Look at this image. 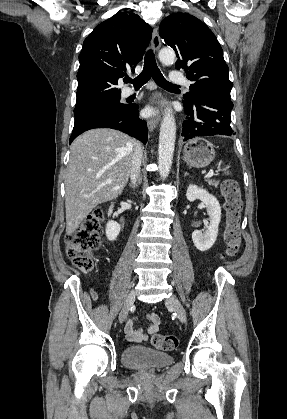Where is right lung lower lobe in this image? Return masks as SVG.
<instances>
[{
  "label": "right lung lower lobe",
  "mask_w": 287,
  "mask_h": 419,
  "mask_svg": "<svg viewBox=\"0 0 287 419\" xmlns=\"http://www.w3.org/2000/svg\"><path fill=\"white\" fill-rule=\"evenodd\" d=\"M93 128L120 130L139 139L143 144L147 142V124L139 118L138 106L135 104L128 105L125 110L97 112L75 122L69 143L81 133Z\"/></svg>",
  "instance_id": "98d812e1"
}]
</instances>
